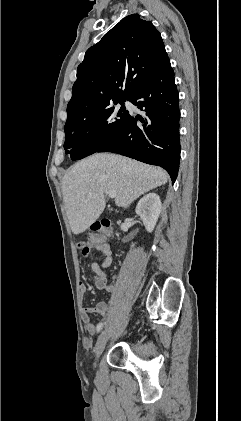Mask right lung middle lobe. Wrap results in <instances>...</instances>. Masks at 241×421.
<instances>
[{
  "instance_id": "right-lung-middle-lobe-1",
  "label": "right lung middle lobe",
  "mask_w": 241,
  "mask_h": 421,
  "mask_svg": "<svg viewBox=\"0 0 241 421\" xmlns=\"http://www.w3.org/2000/svg\"><path fill=\"white\" fill-rule=\"evenodd\" d=\"M124 101L114 103H120V109L111 105L64 128V149L72 160L97 152L119 134L130 116Z\"/></svg>"
}]
</instances>
